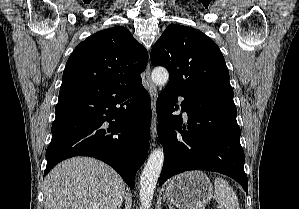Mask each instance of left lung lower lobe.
Segmentation results:
<instances>
[{
	"mask_svg": "<svg viewBox=\"0 0 299 209\" xmlns=\"http://www.w3.org/2000/svg\"><path fill=\"white\" fill-rule=\"evenodd\" d=\"M178 96L188 114V125L172 115ZM233 94L210 90H182L167 85L157 99L158 137L165 152L160 185L187 170L225 174L248 193L241 131Z\"/></svg>",
	"mask_w": 299,
	"mask_h": 209,
	"instance_id": "1",
	"label": "left lung lower lobe"
}]
</instances>
